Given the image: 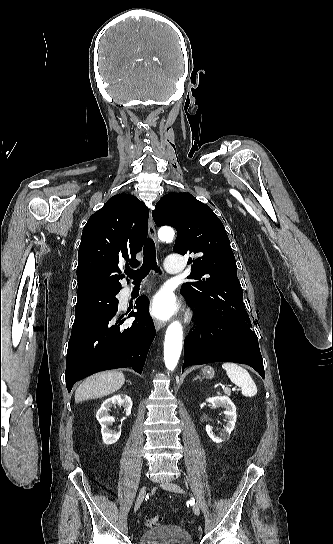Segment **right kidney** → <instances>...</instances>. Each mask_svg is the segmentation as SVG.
Instances as JSON below:
<instances>
[{
    "label": "right kidney",
    "mask_w": 333,
    "mask_h": 544,
    "mask_svg": "<svg viewBox=\"0 0 333 544\" xmlns=\"http://www.w3.org/2000/svg\"><path fill=\"white\" fill-rule=\"evenodd\" d=\"M115 404H118L124 408L126 416L131 414L133 405L129 396L122 397L121 395H114L102 403L101 407L97 411L96 418L101 425L102 440L105 444H113L117 442L121 435V426L119 427V431H112L109 429V426L113 424L115 419L109 416L108 411Z\"/></svg>",
    "instance_id": "right-kidney-1"
}]
</instances>
